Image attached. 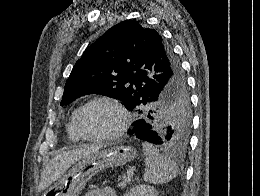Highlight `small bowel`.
I'll return each mask as SVG.
<instances>
[{
    "label": "small bowel",
    "mask_w": 260,
    "mask_h": 196,
    "mask_svg": "<svg viewBox=\"0 0 260 196\" xmlns=\"http://www.w3.org/2000/svg\"><path fill=\"white\" fill-rule=\"evenodd\" d=\"M85 196H116L113 189L110 187H104L102 189L93 188L90 189Z\"/></svg>",
    "instance_id": "c3829d8e"
}]
</instances>
